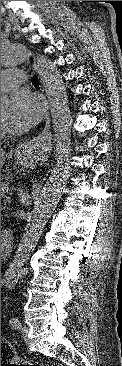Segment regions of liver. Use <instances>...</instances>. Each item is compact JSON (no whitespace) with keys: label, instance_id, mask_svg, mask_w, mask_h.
Here are the masks:
<instances>
[{"label":"liver","instance_id":"liver-1","mask_svg":"<svg viewBox=\"0 0 122 366\" xmlns=\"http://www.w3.org/2000/svg\"><path fill=\"white\" fill-rule=\"evenodd\" d=\"M5 152L3 150H1V168L3 167L4 165V162H5Z\"/></svg>","mask_w":122,"mask_h":366}]
</instances>
